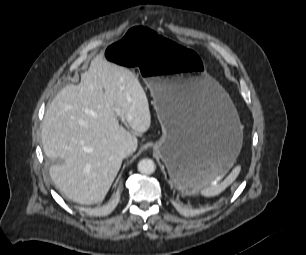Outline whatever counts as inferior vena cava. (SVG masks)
<instances>
[{"label": "inferior vena cava", "mask_w": 306, "mask_h": 255, "mask_svg": "<svg viewBox=\"0 0 306 255\" xmlns=\"http://www.w3.org/2000/svg\"><path fill=\"white\" fill-rule=\"evenodd\" d=\"M133 147L129 144H124L121 147H119L118 149V155L121 158H125L127 156H129L131 153H133Z\"/></svg>", "instance_id": "602c4592"}]
</instances>
